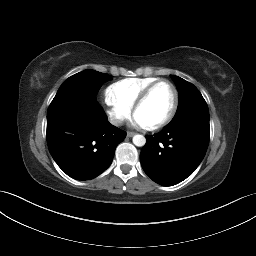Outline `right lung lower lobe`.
Returning a JSON list of instances; mask_svg holds the SVG:
<instances>
[{
	"label": "right lung lower lobe",
	"instance_id": "right-lung-lower-lobe-1",
	"mask_svg": "<svg viewBox=\"0 0 256 256\" xmlns=\"http://www.w3.org/2000/svg\"><path fill=\"white\" fill-rule=\"evenodd\" d=\"M79 103L56 106L47 112V143L58 166L71 178L89 180L112 163L126 133L108 122L88 84Z\"/></svg>",
	"mask_w": 256,
	"mask_h": 256
}]
</instances>
